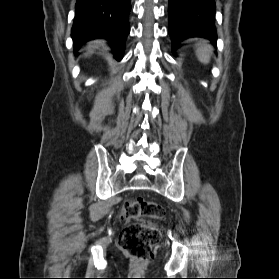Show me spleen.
<instances>
[{"label":"spleen","mask_w":279,"mask_h":279,"mask_svg":"<svg viewBox=\"0 0 279 279\" xmlns=\"http://www.w3.org/2000/svg\"><path fill=\"white\" fill-rule=\"evenodd\" d=\"M195 52L198 60L201 63L208 64L211 59L213 47L208 43V41L203 40L196 44Z\"/></svg>","instance_id":"1"}]
</instances>
